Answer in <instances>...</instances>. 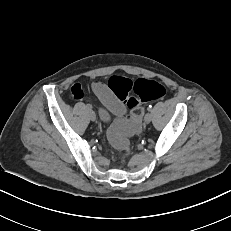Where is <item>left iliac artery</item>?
<instances>
[{
  "instance_id": "44dca946",
  "label": "left iliac artery",
  "mask_w": 231,
  "mask_h": 231,
  "mask_svg": "<svg viewBox=\"0 0 231 231\" xmlns=\"http://www.w3.org/2000/svg\"><path fill=\"white\" fill-rule=\"evenodd\" d=\"M151 110H152V105H149L148 111H151Z\"/></svg>"
}]
</instances>
